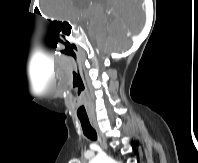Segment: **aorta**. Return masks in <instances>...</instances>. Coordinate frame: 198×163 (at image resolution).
<instances>
[{
  "label": "aorta",
  "instance_id": "aorta-1",
  "mask_svg": "<svg viewBox=\"0 0 198 163\" xmlns=\"http://www.w3.org/2000/svg\"><path fill=\"white\" fill-rule=\"evenodd\" d=\"M89 163H114V161L106 155H97L92 160H90Z\"/></svg>",
  "mask_w": 198,
  "mask_h": 163
}]
</instances>
